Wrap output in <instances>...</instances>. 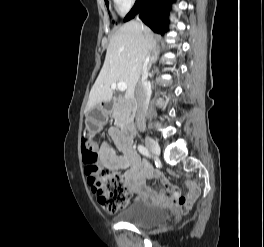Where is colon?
<instances>
[{
    "instance_id": "1",
    "label": "colon",
    "mask_w": 264,
    "mask_h": 247,
    "mask_svg": "<svg viewBox=\"0 0 264 247\" xmlns=\"http://www.w3.org/2000/svg\"><path fill=\"white\" fill-rule=\"evenodd\" d=\"M82 156L91 190L103 210L116 213L125 208L129 203V189L121 176L100 166L98 152L92 146L84 144ZM176 205L182 209L189 208L185 202Z\"/></svg>"
}]
</instances>
